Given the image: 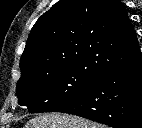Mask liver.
Here are the masks:
<instances>
[{
    "label": "liver",
    "instance_id": "liver-1",
    "mask_svg": "<svg viewBox=\"0 0 142 128\" xmlns=\"http://www.w3.org/2000/svg\"><path fill=\"white\" fill-rule=\"evenodd\" d=\"M24 128H104L87 119L60 113L38 115L29 120Z\"/></svg>",
    "mask_w": 142,
    "mask_h": 128
}]
</instances>
